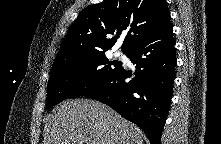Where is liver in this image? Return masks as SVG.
<instances>
[{
  "instance_id": "liver-1",
  "label": "liver",
  "mask_w": 221,
  "mask_h": 144,
  "mask_svg": "<svg viewBox=\"0 0 221 144\" xmlns=\"http://www.w3.org/2000/svg\"><path fill=\"white\" fill-rule=\"evenodd\" d=\"M44 144H143V133L107 105L88 99L60 103L44 128Z\"/></svg>"
}]
</instances>
